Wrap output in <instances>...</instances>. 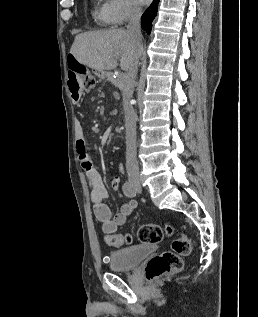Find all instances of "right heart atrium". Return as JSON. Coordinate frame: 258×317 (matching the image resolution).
<instances>
[{"label": "right heart atrium", "mask_w": 258, "mask_h": 317, "mask_svg": "<svg viewBox=\"0 0 258 317\" xmlns=\"http://www.w3.org/2000/svg\"><path fill=\"white\" fill-rule=\"evenodd\" d=\"M138 11V6L133 0H108V24L123 26Z\"/></svg>", "instance_id": "1"}]
</instances>
